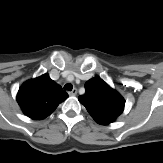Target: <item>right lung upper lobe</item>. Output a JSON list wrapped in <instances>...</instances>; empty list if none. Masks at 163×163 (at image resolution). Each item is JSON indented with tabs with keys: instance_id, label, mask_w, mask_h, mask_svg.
<instances>
[{
	"instance_id": "right-lung-upper-lobe-1",
	"label": "right lung upper lobe",
	"mask_w": 163,
	"mask_h": 163,
	"mask_svg": "<svg viewBox=\"0 0 163 163\" xmlns=\"http://www.w3.org/2000/svg\"><path fill=\"white\" fill-rule=\"evenodd\" d=\"M68 94L48 74L24 82L18 91L17 102L28 117L38 120L49 116Z\"/></svg>"
}]
</instances>
